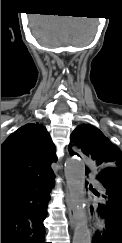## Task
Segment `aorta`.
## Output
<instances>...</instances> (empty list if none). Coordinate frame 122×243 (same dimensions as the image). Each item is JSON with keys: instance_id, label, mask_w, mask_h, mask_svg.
I'll return each instance as SVG.
<instances>
[{"instance_id": "762f6f07", "label": "aorta", "mask_w": 122, "mask_h": 243, "mask_svg": "<svg viewBox=\"0 0 122 243\" xmlns=\"http://www.w3.org/2000/svg\"><path fill=\"white\" fill-rule=\"evenodd\" d=\"M65 177L70 196L75 205L76 224L72 243H91L84 203L85 165L77 159L65 164Z\"/></svg>"}]
</instances>
